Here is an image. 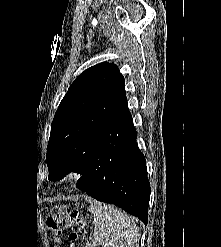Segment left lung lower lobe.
<instances>
[{"label":"left lung lower lobe","mask_w":221,"mask_h":247,"mask_svg":"<svg viewBox=\"0 0 221 247\" xmlns=\"http://www.w3.org/2000/svg\"><path fill=\"white\" fill-rule=\"evenodd\" d=\"M136 138L131 115L109 126L76 187L98 201L124 209L147 225L150 183Z\"/></svg>","instance_id":"obj_1"}]
</instances>
